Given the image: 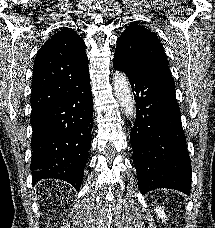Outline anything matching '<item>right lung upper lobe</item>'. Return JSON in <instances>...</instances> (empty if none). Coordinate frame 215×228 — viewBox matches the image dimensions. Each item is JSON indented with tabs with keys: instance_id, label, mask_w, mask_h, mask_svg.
<instances>
[{
	"instance_id": "cb5924a9",
	"label": "right lung upper lobe",
	"mask_w": 215,
	"mask_h": 228,
	"mask_svg": "<svg viewBox=\"0 0 215 228\" xmlns=\"http://www.w3.org/2000/svg\"><path fill=\"white\" fill-rule=\"evenodd\" d=\"M89 75L83 39L69 28H61L37 53L33 69L32 112L37 114L68 92L70 82Z\"/></svg>"
}]
</instances>
